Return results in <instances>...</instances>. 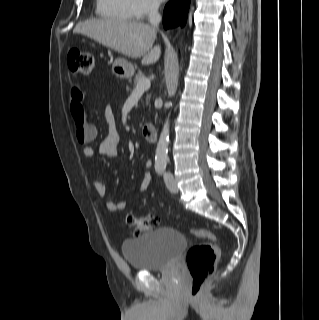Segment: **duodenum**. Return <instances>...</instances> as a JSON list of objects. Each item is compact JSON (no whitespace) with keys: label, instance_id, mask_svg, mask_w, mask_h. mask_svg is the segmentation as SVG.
Returning <instances> with one entry per match:
<instances>
[{"label":"duodenum","instance_id":"duodenum-1","mask_svg":"<svg viewBox=\"0 0 319 320\" xmlns=\"http://www.w3.org/2000/svg\"><path fill=\"white\" fill-rule=\"evenodd\" d=\"M143 135L149 142L157 140V129L154 124H145L143 126Z\"/></svg>","mask_w":319,"mask_h":320}]
</instances>
